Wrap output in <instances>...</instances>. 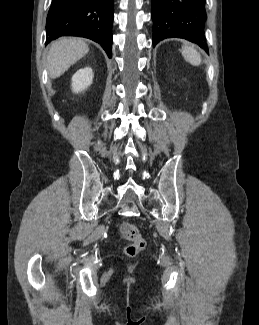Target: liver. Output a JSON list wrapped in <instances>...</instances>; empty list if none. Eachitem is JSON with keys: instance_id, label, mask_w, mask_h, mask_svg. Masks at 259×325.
<instances>
[{"instance_id": "liver-1", "label": "liver", "mask_w": 259, "mask_h": 325, "mask_svg": "<svg viewBox=\"0 0 259 325\" xmlns=\"http://www.w3.org/2000/svg\"><path fill=\"white\" fill-rule=\"evenodd\" d=\"M89 51L88 45L81 39L60 38L50 44L47 56L49 77H60L67 69L84 57Z\"/></svg>"}]
</instances>
